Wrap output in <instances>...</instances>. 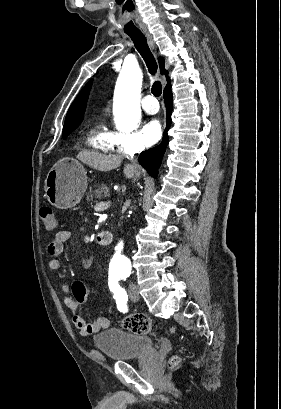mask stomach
I'll return each mask as SVG.
<instances>
[{"label":"stomach","instance_id":"stomach-1","mask_svg":"<svg viewBox=\"0 0 281 409\" xmlns=\"http://www.w3.org/2000/svg\"><path fill=\"white\" fill-rule=\"evenodd\" d=\"M86 188V170L79 160L71 156L57 160L45 178V196L57 209L76 207Z\"/></svg>","mask_w":281,"mask_h":409}]
</instances>
